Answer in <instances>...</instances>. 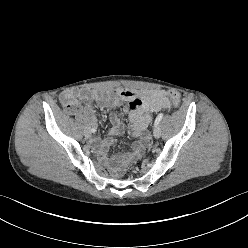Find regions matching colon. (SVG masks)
Wrapping results in <instances>:
<instances>
[{
  "label": "colon",
  "instance_id": "obj_1",
  "mask_svg": "<svg viewBox=\"0 0 248 248\" xmlns=\"http://www.w3.org/2000/svg\"><path fill=\"white\" fill-rule=\"evenodd\" d=\"M165 97L172 103L175 108H178L180 105V96L175 91L167 90L164 92Z\"/></svg>",
  "mask_w": 248,
  "mask_h": 248
}]
</instances>
